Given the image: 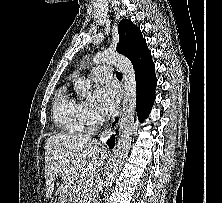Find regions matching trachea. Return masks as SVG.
I'll list each match as a JSON object with an SVG mask.
<instances>
[{"instance_id": "1", "label": "trachea", "mask_w": 222, "mask_h": 203, "mask_svg": "<svg viewBox=\"0 0 222 203\" xmlns=\"http://www.w3.org/2000/svg\"><path fill=\"white\" fill-rule=\"evenodd\" d=\"M116 77H117L118 79H121V78H122V74H121L120 72H117Z\"/></svg>"}]
</instances>
